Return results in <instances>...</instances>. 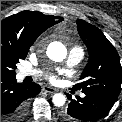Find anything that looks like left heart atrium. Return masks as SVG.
I'll return each instance as SVG.
<instances>
[{"mask_svg": "<svg viewBox=\"0 0 122 122\" xmlns=\"http://www.w3.org/2000/svg\"><path fill=\"white\" fill-rule=\"evenodd\" d=\"M52 82H56V77L55 76H52L51 79H50Z\"/></svg>", "mask_w": 122, "mask_h": 122, "instance_id": "1", "label": "left heart atrium"}]
</instances>
